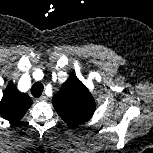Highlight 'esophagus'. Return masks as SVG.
<instances>
[{
	"instance_id": "1",
	"label": "esophagus",
	"mask_w": 153,
	"mask_h": 153,
	"mask_svg": "<svg viewBox=\"0 0 153 153\" xmlns=\"http://www.w3.org/2000/svg\"><path fill=\"white\" fill-rule=\"evenodd\" d=\"M47 97L45 96V95H42L41 97H39L38 99H37V101H39V102H45V101H47Z\"/></svg>"
}]
</instances>
